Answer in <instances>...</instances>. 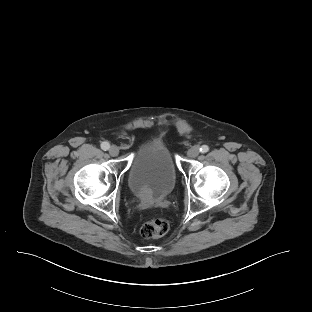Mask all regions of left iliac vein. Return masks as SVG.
I'll use <instances>...</instances> for the list:
<instances>
[{"instance_id":"1","label":"left iliac vein","mask_w":312,"mask_h":312,"mask_svg":"<svg viewBox=\"0 0 312 312\" xmlns=\"http://www.w3.org/2000/svg\"><path fill=\"white\" fill-rule=\"evenodd\" d=\"M199 152H200L199 147L193 146L188 150L187 155L190 158H195L199 155Z\"/></svg>"}]
</instances>
